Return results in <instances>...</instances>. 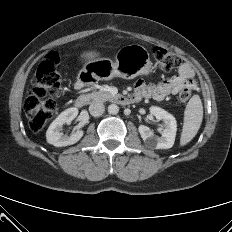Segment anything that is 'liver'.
<instances>
[{"instance_id": "6515ba94", "label": "liver", "mask_w": 232, "mask_h": 232, "mask_svg": "<svg viewBox=\"0 0 232 232\" xmlns=\"http://www.w3.org/2000/svg\"><path fill=\"white\" fill-rule=\"evenodd\" d=\"M98 54L95 52H86L82 55V57L87 58V59H94Z\"/></svg>"}]
</instances>
